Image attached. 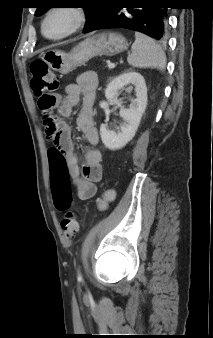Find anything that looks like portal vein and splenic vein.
I'll use <instances>...</instances> for the list:
<instances>
[{"label":"portal vein and splenic vein","mask_w":213,"mask_h":338,"mask_svg":"<svg viewBox=\"0 0 213 338\" xmlns=\"http://www.w3.org/2000/svg\"><path fill=\"white\" fill-rule=\"evenodd\" d=\"M107 65H108V68H110V69L115 67V64L112 63V62H108Z\"/></svg>","instance_id":"18ae733b"}]
</instances>
